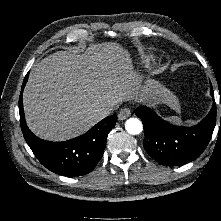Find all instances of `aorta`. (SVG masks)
<instances>
[{"instance_id":"aorta-1","label":"aorta","mask_w":221,"mask_h":221,"mask_svg":"<svg viewBox=\"0 0 221 221\" xmlns=\"http://www.w3.org/2000/svg\"><path fill=\"white\" fill-rule=\"evenodd\" d=\"M126 131L131 135H138L143 130L142 122L137 118H130L125 124Z\"/></svg>"}]
</instances>
